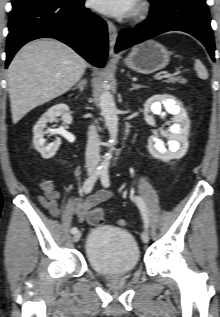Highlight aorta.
<instances>
[{
	"label": "aorta",
	"mask_w": 220,
	"mask_h": 317,
	"mask_svg": "<svg viewBox=\"0 0 220 317\" xmlns=\"http://www.w3.org/2000/svg\"><path fill=\"white\" fill-rule=\"evenodd\" d=\"M102 92L100 95L101 113L104 117L106 127L110 135L109 152L105 155L101 163V169L107 170L112 157V151L118 135V116L117 109L114 102V97L109 91L107 84H103Z\"/></svg>",
	"instance_id": "1"
}]
</instances>
